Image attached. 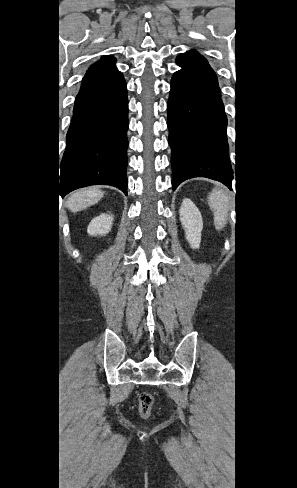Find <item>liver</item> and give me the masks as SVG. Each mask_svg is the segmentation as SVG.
Listing matches in <instances>:
<instances>
[{
  "label": "liver",
  "instance_id": "liver-1",
  "mask_svg": "<svg viewBox=\"0 0 297 488\" xmlns=\"http://www.w3.org/2000/svg\"><path fill=\"white\" fill-rule=\"evenodd\" d=\"M104 195V192L97 188L79 190L70 195L66 206L71 212H78L96 204Z\"/></svg>",
  "mask_w": 297,
  "mask_h": 488
}]
</instances>
